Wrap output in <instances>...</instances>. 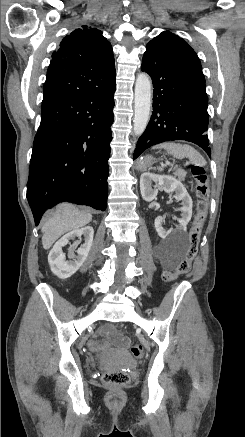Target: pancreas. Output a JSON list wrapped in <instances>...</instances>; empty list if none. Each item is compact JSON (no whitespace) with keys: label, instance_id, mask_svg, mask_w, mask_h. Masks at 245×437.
Listing matches in <instances>:
<instances>
[{"label":"pancreas","instance_id":"pancreas-1","mask_svg":"<svg viewBox=\"0 0 245 437\" xmlns=\"http://www.w3.org/2000/svg\"><path fill=\"white\" fill-rule=\"evenodd\" d=\"M174 175L180 180V181H184L185 177H186V171L183 169H176L174 172Z\"/></svg>","mask_w":245,"mask_h":437}]
</instances>
